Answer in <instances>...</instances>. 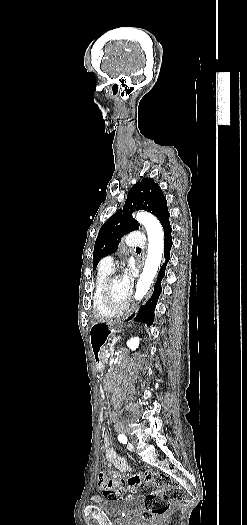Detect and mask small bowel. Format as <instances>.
Returning a JSON list of instances; mask_svg holds the SVG:
<instances>
[{
  "instance_id": "small-bowel-1",
  "label": "small bowel",
  "mask_w": 247,
  "mask_h": 525,
  "mask_svg": "<svg viewBox=\"0 0 247 525\" xmlns=\"http://www.w3.org/2000/svg\"><path fill=\"white\" fill-rule=\"evenodd\" d=\"M103 446L105 450V457L106 459L114 465V467L120 471V472H130L133 471V467L131 464L126 460V458L118 455L114 448L112 447L111 443V437L109 433H105L103 435ZM98 484L104 489V494L107 499L111 501H117L121 498V495L114 496L113 491L116 490L117 485L115 482H113L110 478H105L104 474L102 472L98 475Z\"/></svg>"
}]
</instances>
